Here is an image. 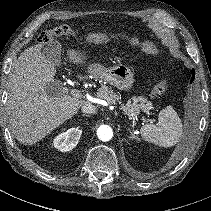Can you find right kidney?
I'll use <instances>...</instances> for the list:
<instances>
[{
	"instance_id": "ca27d5eb",
	"label": "right kidney",
	"mask_w": 211,
	"mask_h": 211,
	"mask_svg": "<svg viewBox=\"0 0 211 211\" xmlns=\"http://www.w3.org/2000/svg\"><path fill=\"white\" fill-rule=\"evenodd\" d=\"M81 134L82 130L78 128H70L66 132L55 137L53 140V146L62 152L70 151L78 144Z\"/></svg>"
}]
</instances>
